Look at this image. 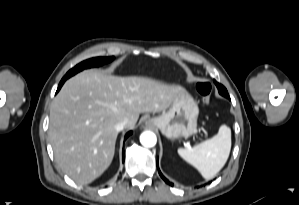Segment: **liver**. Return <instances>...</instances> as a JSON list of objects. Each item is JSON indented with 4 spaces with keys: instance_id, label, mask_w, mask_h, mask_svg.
Wrapping results in <instances>:
<instances>
[{
    "instance_id": "1",
    "label": "liver",
    "mask_w": 299,
    "mask_h": 205,
    "mask_svg": "<svg viewBox=\"0 0 299 205\" xmlns=\"http://www.w3.org/2000/svg\"><path fill=\"white\" fill-rule=\"evenodd\" d=\"M146 77L84 70L68 79L50 107L49 137L55 159L77 184L86 185L110 166L118 131L133 129L140 113L165 111L183 91Z\"/></svg>"
}]
</instances>
